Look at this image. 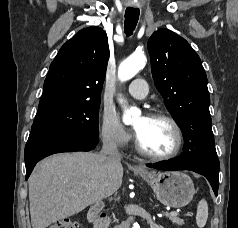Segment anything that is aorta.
Segmentation results:
<instances>
[{
	"label": "aorta",
	"instance_id": "obj_1",
	"mask_svg": "<svg viewBox=\"0 0 238 228\" xmlns=\"http://www.w3.org/2000/svg\"><path fill=\"white\" fill-rule=\"evenodd\" d=\"M147 58L143 53H133L125 59L118 68V78L124 82L133 78L142 68H144ZM122 102V101H121ZM138 113L135 108L125 109L123 122L129 124L132 117ZM132 228H140L138 223H134Z\"/></svg>",
	"mask_w": 238,
	"mask_h": 228
}]
</instances>
